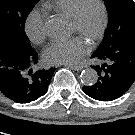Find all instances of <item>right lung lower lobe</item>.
Returning <instances> with one entry per match:
<instances>
[{
	"mask_svg": "<svg viewBox=\"0 0 135 135\" xmlns=\"http://www.w3.org/2000/svg\"><path fill=\"white\" fill-rule=\"evenodd\" d=\"M38 54L12 35L0 32V92L17 103L45 95L55 68L33 71Z\"/></svg>",
	"mask_w": 135,
	"mask_h": 135,
	"instance_id": "right-lung-lower-lobe-1",
	"label": "right lung lower lobe"
}]
</instances>
